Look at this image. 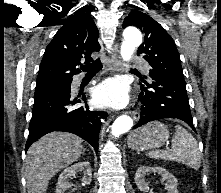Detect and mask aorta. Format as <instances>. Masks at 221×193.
Returning a JSON list of instances; mask_svg holds the SVG:
<instances>
[{
    "instance_id": "obj_1",
    "label": "aorta",
    "mask_w": 221,
    "mask_h": 193,
    "mask_svg": "<svg viewBox=\"0 0 221 193\" xmlns=\"http://www.w3.org/2000/svg\"><path fill=\"white\" fill-rule=\"evenodd\" d=\"M124 40L121 45L120 54L124 61H129L135 49L142 43L140 31L134 27L125 29ZM133 126V119L130 116L122 115L118 117L111 127L112 135L117 137L129 131Z\"/></svg>"
}]
</instances>
